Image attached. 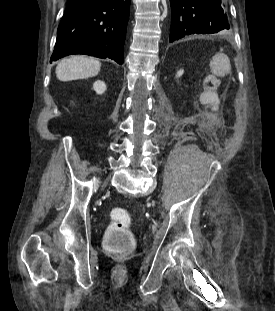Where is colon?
Returning a JSON list of instances; mask_svg holds the SVG:
<instances>
[{
    "label": "colon",
    "mask_w": 275,
    "mask_h": 311,
    "mask_svg": "<svg viewBox=\"0 0 275 311\" xmlns=\"http://www.w3.org/2000/svg\"><path fill=\"white\" fill-rule=\"evenodd\" d=\"M217 56L223 55L220 54ZM110 216L112 221L105 232L104 248L111 253L128 255L134 250L136 245L135 238L129 229L131 216L123 208L112 209Z\"/></svg>",
    "instance_id": "obj_1"
}]
</instances>
